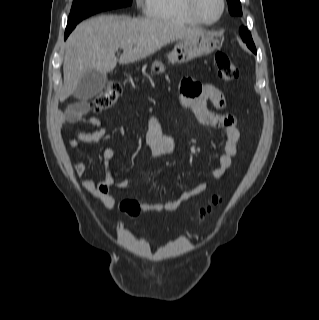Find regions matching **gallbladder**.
<instances>
[{"mask_svg": "<svg viewBox=\"0 0 319 320\" xmlns=\"http://www.w3.org/2000/svg\"><path fill=\"white\" fill-rule=\"evenodd\" d=\"M107 82V76L97 70L86 72L79 82L73 96L86 101L98 95Z\"/></svg>", "mask_w": 319, "mask_h": 320, "instance_id": "bac80fb5", "label": "gallbladder"}]
</instances>
